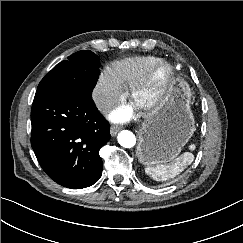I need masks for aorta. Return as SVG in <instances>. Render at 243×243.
I'll list each match as a JSON object with an SVG mask.
<instances>
[{"label": "aorta", "instance_id": "aorta-1", "mask_svg": "<svg viewBox=\"0 0 243 243\" xmlns=\"http://www.w3.org/2000/svg\"><path fill=\"white\" fill-rule=\"evenodd\" d=\"M118 143L124 148H132L136 144L135 135L128 130H123L118 134Z\"/></svg>", "mask_w": 243, "mask_h": 243}]
</instances>
